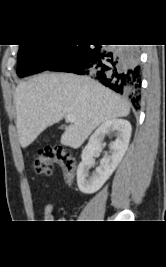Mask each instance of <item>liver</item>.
Wrapping results in <instances>:
<instances>
[{"instance_id": "1", "label": "liver", "mask_w": 166, "mask_h": 267, "mask_svg": "<svg viewBox=\"0 0 166 267\" xmlns=\"http://www.w3.org/2000/svg\"><path fill=\"white\" fill-rule=\"evenodd\" d=\"M15 108L23 148L67 114L74 115L76 121L65 129L61 144L79 148L97 126L130 113L128 102L97 81L48 72L18 84Z\"/></svg>"}]
</instances>
